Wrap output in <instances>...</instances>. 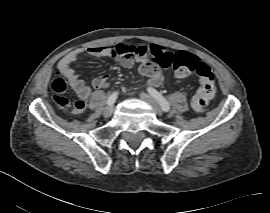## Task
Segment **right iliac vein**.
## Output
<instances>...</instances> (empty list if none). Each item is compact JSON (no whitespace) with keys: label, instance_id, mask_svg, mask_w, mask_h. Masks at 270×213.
<instances>
[{"label":"right iliac vein","instance_id":"obj_1","mask_svg":"<svg viewBox=\"0 0 270 213\" xmlns=\"http://www.w3.org/2000/svg\"><path fill=\"white\" fill-rule=\"evenodd\" d=\"M114 112V106H107L104 111H103V115L105 117H110L112 115V113Z\"/></svg>","mask_w":270,"mask_h":213}]
</instances>
